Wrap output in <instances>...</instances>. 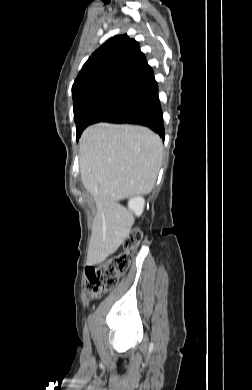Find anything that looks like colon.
Wrapping results in <instances>:
<instances>
[{
  "label": "colon",
  "instance_id": "5ec220e1",
  "mask_svg": "<svg viewBox=\"0 0 252 390\" xmlns=\"http://www.w3.org/2000/svg\"><path fill=\"white\" fill-rule=\"evenodd\" d=\"M141 239L142 232L134 230L123 240L120 252L86 270L88 286L93 296H99L117 285L120 276L131 264Z\"/></svg>",
  "mask_w": 252,
  "mask_h": 390
}]
</instances>
